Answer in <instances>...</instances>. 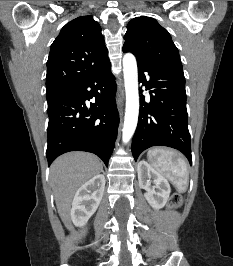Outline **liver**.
Wrapping results in <instances>:
<instances>
[{"mask_svg": "<svg viewBox=\"0 0 233 266\" xmlns=\"http://www.w3.org/2000/svg\"><path fill=\"white\" fill-rule=\"evenodd\" d=\"M103 170L98 157L85 152H69L50 167V182L57 210L67 229H71V203L77 189Z\"/></svg>", "mask_w": 233, "mask_h": 266, "instance_id": "liver-1", "label": "liver"}]
</instances>
